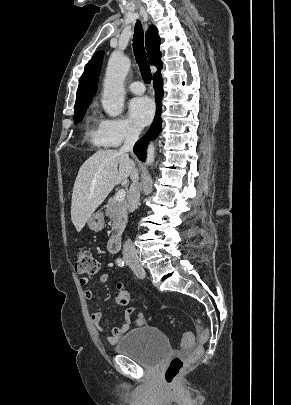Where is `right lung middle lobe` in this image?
Here are the masks:
<instances>
[{"mask_svg": "<svg viewBox=\"0 0 291 405\" xmlns=\"http://www.w3.org/2000/svg\"><path fill=\"white\" fill-rule=\"evenodd\" d=\"M86 110H87V108L79 109V110L75 111V113H74V123H75V125L78 124L79 122H81Z\"/></svg>", "mask_w": 291, "mask_h": 405, "instance_id": "1", "label": "right lung middle lobe"}]
</instances>
